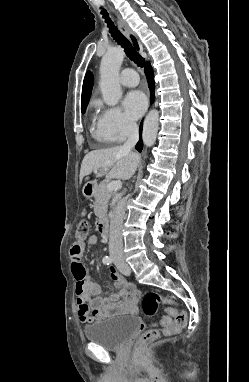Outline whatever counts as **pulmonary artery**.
I'll use <instances>...</instances> for the list:
<instances>
[{
  "label": "pulmonary artery",
  "instance_id": "obj_1",
  "mask_svg": "<svg viewBox=\"0 0 249 382\" xmlns=\"http://www.w3.org/2000/svg\"><path fill=\"white\" fill-rule=\"evenodd\" d=\"M120 82L127 87H135L139 83V77L135 70L126 68L121 72Z\"/></svg>",
  "mask_w": 249,
  "mask_h": 382
}]
</instances>
